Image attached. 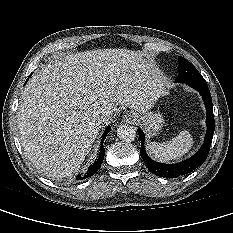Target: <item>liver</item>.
Wrapping results in <instances>:
<instances>
[{"label":"liver","mask_w":233,"mask_h":233,"mask_svg":"<svg viewBox=\"0 0 233 233\" xmlns=\"http://www.w3.org/2000/svg\"><path fill=\"white\" fill-rule=\"evenodd\" d=\"M158 71L138 52L97 49L43 66L27 83L18 109L21 145L48 178L76 173L102 123L125 106L145 113L164 93Z\"/></svg>","instance_id":"obj_1"}]
</instances>
